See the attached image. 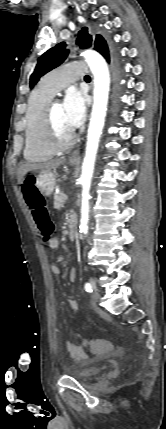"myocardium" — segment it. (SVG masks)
I'll return each mask as SVG.
<instances>
[{
  "label": "myocardium",
  "instance_id": "1",
  "mask_svg": "<svg viewBox=\"0 0 166 429\" xmlns=\"http://www.w3.org/2000/svg\"><path fill=\"white\" fill-rule=\"evenodd\" d=\"M58 103V100H51L45 107L44 116H43V137L44 142L47 145L48 148H50L52 151H63L68 148H70L75 140V132L72 131L70 135L64 139L61 140L58 138L54 124H53V117H52V109L53 106Z\"/></svg>",
  "mask_w": 166,
  "mask_h": 429
}]
</instances>
